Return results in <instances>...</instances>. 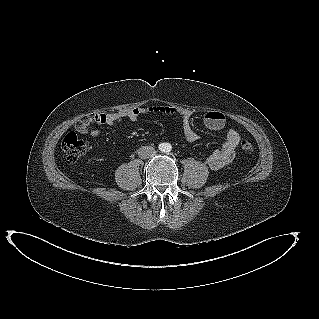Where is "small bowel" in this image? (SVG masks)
<instances>
[{"instance_id":"obj_1","label":"small bowel","mask_w":319,"mask_h":319,"mask_svg":"<svg viewBox=\"0 0 319 319\" xmlns=\"http://www.w3.org/2000/svg\"><path fill=\"white\" fill-rule=\"evenodd\" d=\"M163 114L168 116H179L182 119V129L184 137L189 142L198 140V134L193 130L191 125L192 112L188 109L170 107V106H147L136 107L126 110H120L111 113H96L87 116L89 121L84 123L81 120L75 128L78 132L97 138L100 135L98 129L93 128L94 124L116 125L124 121L134 122L141 115ZM225 116L219 111H209L204 116L205 126L212 131H220L225 127ZM240 135L235 129H228L225 134L222 146L213 151L207 158V165L212 170H219L230 164L235 156V150L239 144Z\"/></svg>"}]
</instances>
